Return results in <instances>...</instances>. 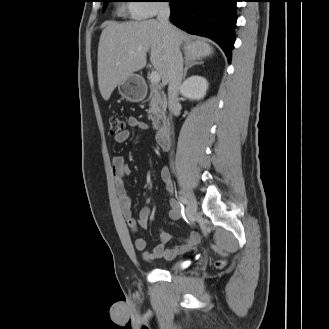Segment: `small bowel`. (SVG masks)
Instances as JSON below:
<instances>
[{
    "label": "small bowel",
    "instance_id": "small-bowel-1",
    "mask_svg": "<svg viewBox=\"0 0 329 329\" xmlns=\"http://www.w3.org/2000/svg\"><path fill=\"white\" fill-rule=\"evenodd\" d=\"M129 129L148 130L149 125L145 122L138 120L136 117H129L127 120ZM126 129L123 132L115 135V141L117 143H125L130 137V130ZM115 190L117 194L118 204L122 213V216L127 223L128 227L137 232L139 228H146L148 226L149 218L152 214V209L149 207L142 208L137 218L132 216L131 211V198L125 187V179L130 174V169L126 164L125 158L121 155L115 156L112 166ZM160 176L165 183L166 189L169 192H173V185L170 173L168 169L162 168ZM169 218L176 220L181 216V207L179 203L171 198L169 200ZM172 236L166 231H160L159 243L154 247L152 251L146 250V241L143 238H136L134 240V248L140 252L143 260L154 261L157 259L172 260L176 256L184 254L196 247L199 242V237L195 233H191L186 237L180 238L179 244L168 247Z\"/></svg>",
    "mask_w": 329,
    "mask_h": 329
}]
</instances>
